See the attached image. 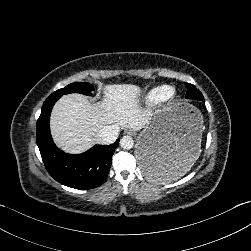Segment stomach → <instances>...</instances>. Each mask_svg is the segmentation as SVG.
Returning a JSON list of instances; mask_svg holds the SVG:
<instances>
[{"instance_id": "obj_1", "label": "stomach", "mask_w": 251, "mask_h": 251, "mask_svg": "<svg viewBox=\"0 0 251 251\" xmlns=\"http://www.w3.org/2000/svg\"><path fill=\"white\" fill-rule=\"evenodd\" d=\"M203 131L201 111L187 102L154 113L137 138L141 171L160 182H176L198 166Z\"/></svg>"}]
</instances>
